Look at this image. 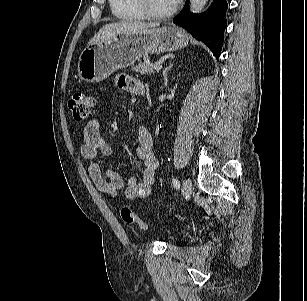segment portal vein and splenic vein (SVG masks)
Returning <instances> with one entry per match:
<instances>
[{
    "label": "portal vein and splenic vein",
    "instance_id": "18ae733b",
    "mask_svg": "<svg viewBox=\"0 0 307 301\" xmlns=\"http://www.w3.org/2000/svg\"><path fill=\"white\" fill-rule=\"evenodd\" d=\"M153 69H154L155 71H160V70L162 69V65H155V66L153 67Z\"/></svg>",
    "mask_w": 307,
    "mask_h": 301
}]
</instances>
